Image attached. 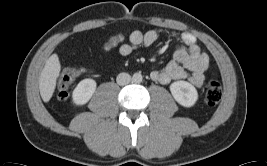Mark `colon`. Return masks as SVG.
I'll use <instances>...</instances> for the list:
<instances>
[{"label": "colon", "instance_id": "colon-1", "mask_svg": "<svg viewBox=\"0 0 267 166\" xmlns=\"http://www.w3.org/2000/svg\"><path fill=\"white\" fill-rule=\"evenodd\" d=\"M123 43V36L120 33H113L110 39L105 43V48L120 46ZM72 72H66L58 81L57 95L60 99H67L74 81ZM222 86L218 81L212 80L208 83L205 91V102L209 106L216 105L222 97Z\"/></svg>", "mask_w": 267, "mask_h": 166}]
</instances>
